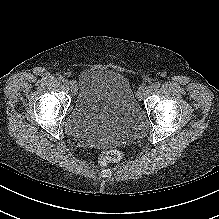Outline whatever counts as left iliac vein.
Returning a JSON list of instances; mask_svg holds the SVG:
<instances>
[{
	"label": "left iliac vein",
	"instance_id": "obj_1",
	"mask_svg": "<svg viewBox=\"0 0 219 219\" xmlns=\"http://www.w3.org/2000/svg\"><path fill=\"white\" fill-rule=\"evenodd\" d=\"M151 92H152V86L142 85L138 88L137 98L139 100H142L146 96H148Z\"/></svg>",
	"mask_w": 219,
	"mask_h": 219
}]
</instances>
